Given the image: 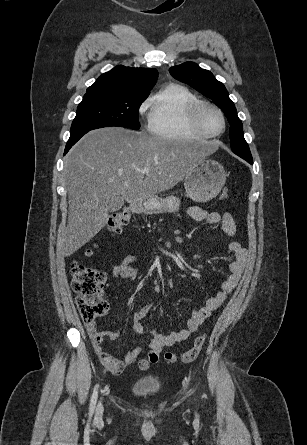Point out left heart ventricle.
I'll return each mask as SVG.
<instances>
[{
	"instance_id": "left-heart-ventricle-1",
	"label": "left heart ventricle",
	"mask_w": 307,
	"mask_h": 445,
	"mask_svg": "<svg viewBox=\"0 0 307 445\" xmlns=\"http://www.w3.org/2000/svg\"><path fill=\"white\" fill-rule=\"evenodd\" d=\"M204 120L212 134H219L224 129V121L220 113L214 109L208 108L204 113Z\"/></svg>"
}]
</instances>
